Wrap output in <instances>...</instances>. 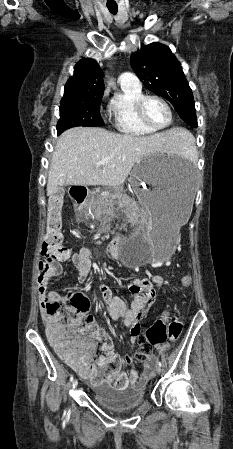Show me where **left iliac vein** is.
Returning <instances> with one entry per match:
<instances>
[{
    "instance_id": "1",
    "label": "left iliac vein",
    "mask_w": 233,
    "mask_h": 449,
    "mask_svg": "<svg viewBox=\"0 0 233 449\" xmlns=\"http://www.w3.org/2000/svg\"><path fill=\"white\" fill-rule=\"evenodd\" d=\"M156 372H157V374H161L162 368L160 366H157L156 367Z\"/></svg>"
}]
</instances>
